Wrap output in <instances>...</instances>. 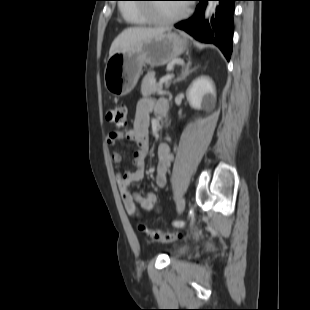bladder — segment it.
Instances as JSON below:
<instances>
[{
	"mask_svg": "<svg viewBox=\"0 0 310 310\" xmlns=\"http://www.w3.org/2000/svg\"><path fill=\"white\" fill-rule=\"evenodd\" d=\"M190 249V246L187 244H180L173 248L174 256H182L186 254Z\"/></svg>",
	"mask_w": 310,
	"mask_h": 310,
	"instance_id": "1",
	"label": "bladder"
}]
</instances>
